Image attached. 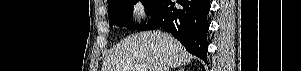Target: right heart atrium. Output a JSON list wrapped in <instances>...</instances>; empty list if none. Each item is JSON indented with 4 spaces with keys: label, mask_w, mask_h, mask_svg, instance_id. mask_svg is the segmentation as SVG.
Listing matches in <instances>:
<instances>
[{
    "label": "right heart atrium",
    "mask_w": 301,
    "mask_h": 71,
    "mask_svg": "<svg viewBox=\"0 0 301 71\" xmlns=\"http://www.w3.org/2000/svg\"><path fill=\"white\" fill-rule=\"evenodd\" d=\"M132 15L135 18H140L143 17L145 15V10L144 7L142 5H137L134 7L133 11H132Z\"/></svg>",
    "instance_id": "obj_1"
}]
</instances>
